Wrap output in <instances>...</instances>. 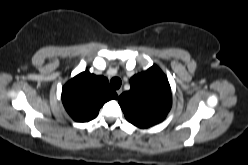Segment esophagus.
I'll use <instances>...</instances> for the list:
<instances>
[{
	"label": "esophagus",
	"mask_w": 248,
	"mask_h": 165,
	"mask_svg": "<svg viewBox=\"0 0 248 165\" xmlns=\"http://www.w3.org/2000/svg\"><path fill=\"white\" fill-rule=\"evenodd\" d=\"M116 93H117L118 96H120V95L122 94V88L118 89V90L116 91Z\"/></svg>",
	"instance_id": "34e87169"
}]
</instances>
